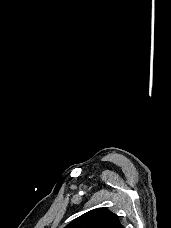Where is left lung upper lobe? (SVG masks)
<instances>
[{"label": "left lung upper lobe", "instance_id": "5c2ea615", "mask_svg": "<svg viewBox=\"0 0 171 228\" xmlns=\"http://www.w3.org/2000/svg\"><path fill=\"white\" fill-rule=\"evenodd\" d=\"M65 228H123L118 216L106 208H98L81 215Z\"/></svg>", "mask_w": 171, "mask_h": 228}]
</instances>
